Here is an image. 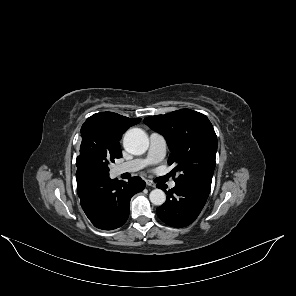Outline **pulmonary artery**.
<instances>
[{
	"mask_svg": "<svg viewBox=\"0 0 296 296\" xmlns=\"http://www.w3.org/2000/svg\"><path fill=\"white\" fill-rule=\"evenodd\" d=\"M166 140L165 138L158 133L150 134V147L147 153L146 158H136L124 163H121L116 166L115 172L117 174L122 173H132L139 171L150 164H156L160 162L166 154ZM170 187H175V181L170 182Z\"/></svg>",
	"mask_w": 296,
	"mask_h": 296,
	"instance_id": "1",
	"label": "pulmonary artery"
}]
</instances>
